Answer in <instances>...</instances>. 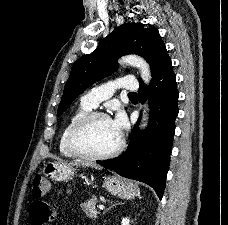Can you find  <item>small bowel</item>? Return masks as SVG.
<instances>
[{"label": "small bowel", "instance_id": "c3829d8e", "mask_svg": "<svg viewBox=\"0 0 228 225\" xmlns=\"http://www.w3.org/2000/svg\"><path fill=\"white\" fill-rule=\"evenodd\" d=\"M36 203L37 204H30L28 208L30 212L29 217L30 219L33 218L31 225H48V223H51V218L56 215V213L52 215L53 207H51V204H44V199H37Z\"/></svg>", "mask_w": 228, "mask_h": 225}]
</instances>
